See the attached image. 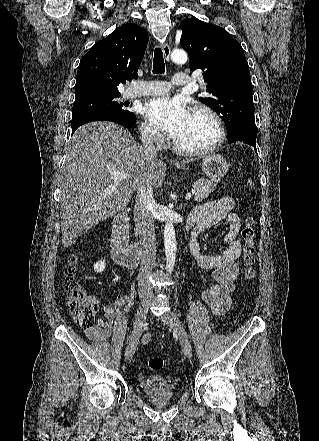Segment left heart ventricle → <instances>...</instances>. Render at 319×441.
I'll use <instances>...</instances> for the list:
<instances>
[{
  "instance_id": "1",
  "label": "left heart ventricle",
  "mask_w": 319,
  "mask_h": 441,
  "mask_svg": "<svg viewBox=\"0 0 319 441\" xmlns=\"http://www.w3.org/2000/svg\"><path fill=\"white\" fill-rule=\"evenodd\" d=\"M216 136V125L209 116L190 112L188 120L174 140L184 148L198 149L213 143Z\"/></svg>"
}]
</instances>
